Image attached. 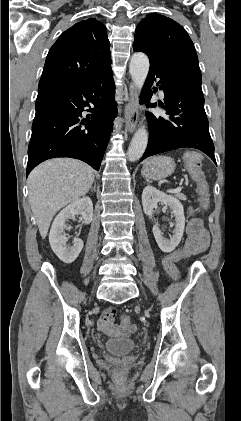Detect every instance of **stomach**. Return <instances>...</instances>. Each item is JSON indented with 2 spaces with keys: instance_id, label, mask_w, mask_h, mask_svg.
Here are the masks:
<instances>
[{
  "instance_id": "stomach-1",
  "label": "stomach",
  "mask_w": 241,
  "mask_h": 421,
  "mask_svg": "<svg viewBox=\"0 0 241 421\" xmlns=\"http://www.w3.org/2000/svg\"><path fill=\"white\" fill-rule=\"evenodd\" d=\"M175 162L167 156H155L147 160L141 170L146 179L162 180L170 176L175 170Z\"/></svg>"
}]
</instances>
